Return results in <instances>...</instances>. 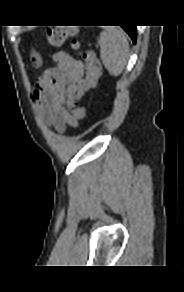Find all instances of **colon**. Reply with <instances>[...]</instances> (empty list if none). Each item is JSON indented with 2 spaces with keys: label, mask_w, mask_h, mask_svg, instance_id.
<instances>
[{
  "label": "colon",
  "mask_w": 184,
  "mask_h": 292,
  "mask_svg": "<svg viewBox=\"0 0 184 292\" xmlns=\"http://www.w3.org/2000/svg\"><path fill=\"white\" fill-rule=\"evenodd\" d=\"M77 25H62L52 27L47 31L48 42L53 47L63 45L69 38H73L72 46L78 50L85 62V75L67 88L66 105L76 119H84L86 111L79 106V101L83 95L96 87L101 75V64L93 50H81L78 37Z\"/></svg>",
  "instance_id": "obj_1"
}]
</instances>
